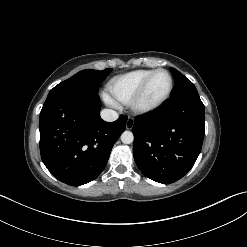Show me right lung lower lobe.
Returning a JSON list of instances; mask_svg holds the SVG:
<instances>
[{"instance_id":"98d812e1","label":"right lung lower lobe","mask_w":247,"mask_h":247,"mask_svg":"<svg viewBox=\"0 0 247 247\" xmlns=\"http://www.w3.org/2000/svg\"><path fill=\"white\" fill-rule=\"evenodd\" d=\"M97 94L49 95L40 113L42 161L58 180L79 186L104 169L111 149L125 130L126 116L115 122L100 117Z\"/></svg>"}]
</instances>
